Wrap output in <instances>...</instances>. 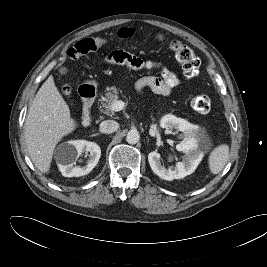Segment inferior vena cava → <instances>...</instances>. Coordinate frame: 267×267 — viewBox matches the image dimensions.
Listing matches in <instances>:
<instances>
[{
  "label": "inferior vena cava",
  "mask_w": 267,
  "mask_h": 267,
  "mask_svg": "<svg viewBox=\"0 0 267 267\" xmlns=\"http://www.w3.org/2000/svg\"><path fill=\"white\" fill-rule=\"evenodd\" d=\"M119 128V124L114 120H105L100 123V131L102 133H113Z\"/></svg>",
  "instance_id": "602c4592"
}]
</instances>
